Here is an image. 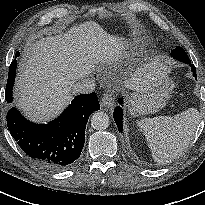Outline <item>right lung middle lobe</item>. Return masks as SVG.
Instances as JSON below:
<instances>
[{
    "label": "right lung middle lobe",
    "instance_id": "obj_1",
    "mask_svg": "<svg viewBox=\"0 0 205 205\" xmlns=\"http://www.w3.org/2000/svg\"><path fill=\"white\" fill-rule=\"evenodd\" d=\"M19 52L16 53V57L19 56ZM15 73H16V61H12L10 67H9V74H8V81L6 85V91H5V100L10 103L12 102V89L13 84L15 81Z\"/></svg>",
    "mask_w": 205,
    "mask_h": 205
}]
</instances>
